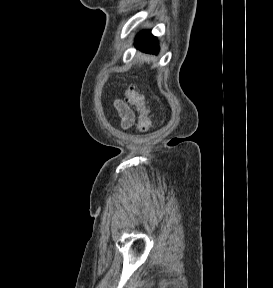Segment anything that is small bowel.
I'll return each instance as SVG.
<instances>
[{
  "mask_svg": "<svg viewBox=\"0 0 273 288\" xmlns=\"http://www.w3.org/2000/svg\"><path fill=\"white\" fill-rule=\"evenodd\" d=\"M114 106L120 118L122 128L129 129L132 127L135 121V115L132 109L122 100H116Z\"/></svg>",
  "mask_w": 273,
  "mask_h": 288,
  "instance_id": "small-bowel-1",
  "label": "small bowel"
}]
</instances>
